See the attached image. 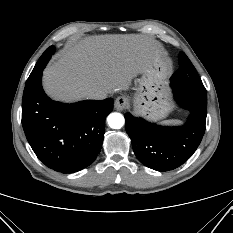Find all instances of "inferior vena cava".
I'll list each match as a JSON object with an SVG mask.
<instances>
[{
    "label": "inferior vena cava",
    "mask_w": 233,
    "mask_h": 233,
    "mask_svg": "<svg viewBox=\"0 0 233 233\" xmlns=\"http://www.w3.org/2000/svg\"><path fill=\"white\" fill-rule=\"evenodd\" d=\"M108 91L105 89H99L91 94L92 99L103 100L107 98Z\"/></svg>",
    "instance_id": "obj_1"
}]
</instances>
